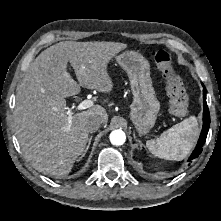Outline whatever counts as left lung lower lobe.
Here are the masks:
<instances>
[{"label": "left lung lower lobe", "mask_w": 221, "mask_h": 221, "mask_svg": "<svg viewBox=\"0 0 221 221\" xmlns=\"http://www.w3.org/2000/svg\"><path fill=\"white\" fill-rule=\"evenodd\" d=\"M203 127H202V131L198 140V143L196 145V148L194 149V151L192 152L191 156L188 159V162H191L194 158L198 157L199 154H201L202 152V147L206 141V137L208 134V130H209V124H210V114H209V110H208V106H207V102H206V91L205 89H203Z\"/></svg>", "instance_id": "left-lung-lower-lobe-1"}]
</instances>
